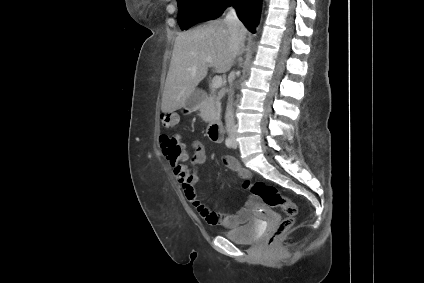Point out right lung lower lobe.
Listing matches in <instances>:
<instances>
[{
  "label": "right lung lower lobe",
  "mask_w": 424,
  "mask_h": 283,
  "mask_svg": "<svg viewBox=\"0 0 424 283\" xmlns=\"http://www.w3.org/2000/svg\"><path fill=\"white\" fill-rule=\"evenodd\" d=\"M262 0H233L231 5L237 10L239 19L252 33L256 32L259 22Z\"/></svg>",
  "instance_id": "right-lung-lower-lobe-1"
}]
</instances>
